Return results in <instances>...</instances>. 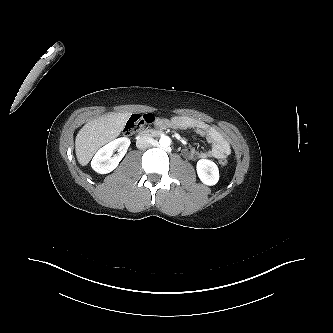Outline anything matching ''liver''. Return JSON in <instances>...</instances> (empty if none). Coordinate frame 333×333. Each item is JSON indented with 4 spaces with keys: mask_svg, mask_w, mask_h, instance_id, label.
<instances>
[{
    "mask_svg": "<svg viewBox=\"0 0 333 333\" xmlns=\"http://www.w3.org/2000/svg\"><path fill=\"white\" fill-rule=\"evenodd\" d=\"M129 113H110L86 123L76 136L75 150L78 162L85 166L97 150L119 136Z\"/></svg>",
    "mask_w": 333,
    "mask_h": 333,
    "instance_id": "1",
    "label": "liver"
}]
</instances>
